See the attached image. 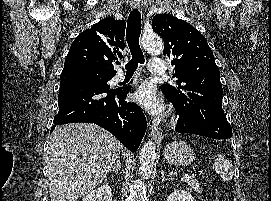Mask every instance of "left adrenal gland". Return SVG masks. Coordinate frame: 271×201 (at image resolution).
<instances>
[{"instance_id":"a2214340","label":"left adrenal gland","mask_w":271,"mask_h":201,"mask_svg":"<svg viewBox=\"0 0 271 201\" xmlns=\"http://www.w3.org/2000/svg\"><path fill=\"white\" fill-rule=\"evenodd\" d=\"M161 180H162V182L170 180V178H165L164 171L161 172Z\"/></svg>"}]
</instances>
